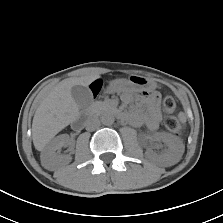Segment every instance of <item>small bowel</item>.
Segmentation results:
<instances>
[{
	"mask_svg": "<svg viewBox=\"0 0 223 223\" xmlns=\"http://www.w3.org/2000/svg\"><path fill=\"white\" fill-rule=\"evenodd\" d=\"M99 89L100 85L97 86L96 90L99 91ZM124 101H127L126 97H124ZM139 105L141 108L146 109V113L129 116L127 119L132 124H144L149 129H156L161 119V95L158 92L143 95Z\"/></svg>",
	"mask_w": 223,
	"mask_h": 223,
	"instance_id": "1",
	"label": "small bowel"
}]
</instances>
